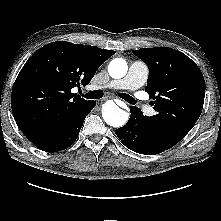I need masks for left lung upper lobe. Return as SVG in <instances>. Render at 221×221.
<instances>
[{
  "mask_svg": "<svg viewBox=\"0 0 221 221\" xmlns=\"http://www.w3.org/2000/svg\"><path fill=\"white\" fill-rule=\"evenodd\" d=\"M149 67L146 91L156 115L148 117L163 141L174 146L194 126L204 103L205 81L199 67L185 54L168 48L134 50Z\"/></svg>",
  "mask_w": 221,
  "mask_h": 221,
  "instance_id": "1",
  "label": "left lung upper lobe"
}]
</instances>
